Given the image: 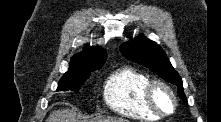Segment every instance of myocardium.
Here are the masks:
<instances>
[{"label": "myocardium", "mask_w": 221, "mask_h": 122, "mask_svg": "<svg viewBox=\"0 0 221 122\" xmlns=\"http://www.w3.org/2000/svg\"><path fill=\"white\" fill-rule=\"evenodd\" d=\"M158 88L164 89L171 97L173 101V108L169 112L163 111L155 100V92ZM145 101L148 107L160 117H167L174 114L178 107V99L173 88L165 81L161 79L150 80L144 90Z\"/></svg>", "instance_id": "myocardium-1"}]
</instances>
